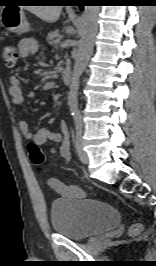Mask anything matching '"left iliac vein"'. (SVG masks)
<instances>
[{
    "label": "left iliac vein",
    "instance_id": "left-iliac-vein-1",
    "mask_svg": "<svg viewBox=\"0 0 156 266\" xmlns=\"http://www.w3.org/2000/svg\"><path fill=\"white\" fill-rule=\"evenodd\" d=\"M78 155H79L80 161L83 164H88L89 157H88L87 153L82 149L81 145L79 146V149H78Z\"/></svg>",
    "mask_w": 156,
    "mask_h": 266
}]
</instances>
